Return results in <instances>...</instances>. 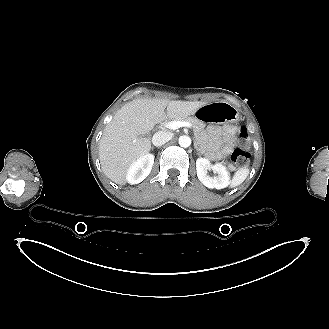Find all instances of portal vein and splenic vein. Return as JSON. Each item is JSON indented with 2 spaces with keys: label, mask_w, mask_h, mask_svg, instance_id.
I'll list each match as a JSON object with an SVG mask.
<instances>
[{
  "label": "portal vein and splenic vein",
  "mask_w": 329,
  "mask_h": 329,
  "mask_svg": "<svg viewBox=\"0 0 329 329\" xmlns=\"http://www.w3.org/2000/svg\"><path fill=\"white\" fill-rule=\"evenodd\" d=\"M180 127H188L191 128L192 124L186 121H171L167 124V128L171 130H176Z\"/></svg>",
  "instance_id": "1"
}]
</instances>
